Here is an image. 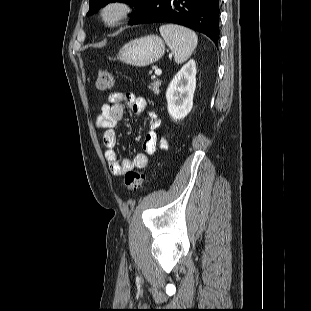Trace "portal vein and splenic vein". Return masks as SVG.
Wrapping results in <instances>:
<instances>
[{"label":"portal vein and splenic vein","mask_w":311,"mask_h":311,"mask_svg":"<svg viewBox=\"0 0 311 311\" xmlns=\"http://www.w3.org/2000/svg\"><path fill=\"white\" fill-rule=\"evenodd\" d=\"M155 74H156V75H161V74H162L161 69H156V70H155Z\"/></svg>","instance_id":"1"}]
</instances>
